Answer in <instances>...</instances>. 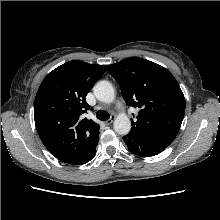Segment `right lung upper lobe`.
<instances>
[{
    "label": "right lung upper lobe",
    "mask_w": 220,
    "mask_h": 220,
    "mask_svg": "<svg viewBox=\"0 0 220 220\" xmlns=\"http://www.w3.org/2000/svg\"><path fill=\"white\" fill-rule=\"evenodd\" d=\"M105 69L104 65L69 61L51 71L38 89L36 129L48 151L65 163L80 159L99 140V125L81 115L90 109L86 95Z\"/></svg>",
    "instance_id": "cb5924a9"
}]
</instances>
